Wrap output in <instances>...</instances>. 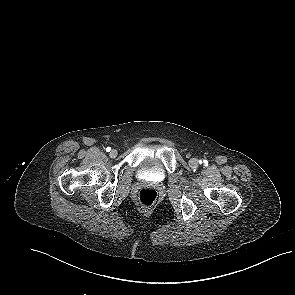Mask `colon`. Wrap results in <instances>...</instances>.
Wrapping results in <instances>:
<instances>
[{
  "label": "colon",
  "instance_id": "5ec220e1",
  "mask_svg": "<svg viewBox=\"0 0 295 295\" xmlns=\"http://www.w3.org/2000/svg\"><path fill=\"white\" fill-rule=\"evenodd\" d=\"M138 200L141 205L150 207L157 201V192L151 188L141 189L138 193Z\"/></svg>",
  "mask_w": 295,
  "mask_h": 295
}]
</instances>
